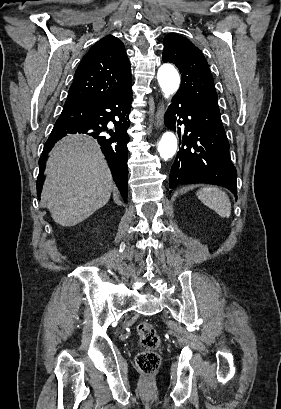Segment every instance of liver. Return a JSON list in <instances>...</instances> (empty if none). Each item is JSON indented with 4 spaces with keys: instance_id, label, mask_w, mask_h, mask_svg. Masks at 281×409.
Masks as SVG:
<instances>
[{
    "instance_id": "obj_1",
    "label": "liver",
    "mask_w": 281,
    "mask_h": 409,
    "mask_svg": "<svg viewBox=\"0 0 281 409\" xmlns=\"http://www.w3.org/2000/svg\"><path fill=\"white\" fill-rule=\"evenodd\" d=\"M42 198L62 227L79 225L108 202L111 172L91 136L70 134L57 142L46 164Z\"/></svg>"
}]
</instances>
